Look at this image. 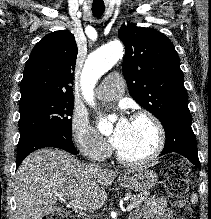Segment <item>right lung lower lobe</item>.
Instances as JSON below:
<instances>
[{"mask_svg":"<svg viewBox=\"0 0 211 219\" xmlns=\"http://www.w3.org/2000/svg\"><path fill=\"white\" fill-rule=\"evenodd\" d=\"M44 147L60 148L72 154H78L72 142V137L67 138L53 132H39L19 140L17 147L16 168L19 167L23 159L28 154Z\"/></svg>","mask_w":211,"mask_h":219,"instance_id":"1","label":"right lung lower lobe"}]
</instances>
